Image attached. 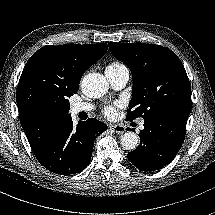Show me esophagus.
<instances>
[{
  "label": "esophagus",
  "instance_id": "obj_1",
  "mask_svg": "<svg viewBox=\"0 0 215 215\" xmlns=\"http://www.w3.org/2000/svg\"><path fill=\"white\" fill-rule=\"evenodd\" d=\"M109 128L117 134H123L126 131L125 127L120 124H110Z\"/></svg>",
  "mask_w": 215,
  "mask_h": 215
}]
</instances>
